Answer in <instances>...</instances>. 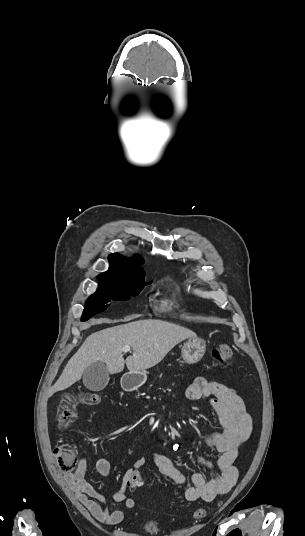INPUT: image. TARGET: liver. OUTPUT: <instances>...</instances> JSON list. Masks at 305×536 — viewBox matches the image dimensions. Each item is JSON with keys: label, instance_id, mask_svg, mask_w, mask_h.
Listing matches in <instances>:
<instances>
[{"label": "liver", "instance_id": "6515ba94", "mask_svg": "<svg viewBox=\"0 0 305 536\" xmlns=\"http://www.w3.org/2000/svg\"><path fill=\"white\" fill-rule=\"evenodd\" d=\"M128 320L132 318H126V322ZM102 322L115 324L113 320ZM186 338H196V334L187 328L162 320H138L95 332L86 338L78 352L69 360L59 380L50 388L47 398L81 380L85 368L95 362H104L110 374L123 372L125 364L130 372L153 368L176 344ZM123 346H130L133 350L132 356H128L126 360L122 354Z\"/></svg>", "mask_w": 305, "mask_h": 536}]
</instances>
